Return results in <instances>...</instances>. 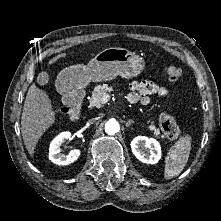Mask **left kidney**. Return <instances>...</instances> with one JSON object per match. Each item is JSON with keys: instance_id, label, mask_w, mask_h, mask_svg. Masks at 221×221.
<instances>
[{"instance_id": "obj_1", "label": "left kidney", "mask_w": 221, "mask_h": 221, "mask_svg": "<svg viewBox=\"0 0 221 221\" xmlns=\"http://www.w3.org/2000/svg\"><path fill=\"white\" fill-rule=\"evenodd\" d=\"M131 149L135 157L146 164H156L161 158V147L154 138L137 136L131 141Z\"/></svg>"}]
</instances>
